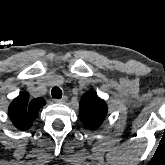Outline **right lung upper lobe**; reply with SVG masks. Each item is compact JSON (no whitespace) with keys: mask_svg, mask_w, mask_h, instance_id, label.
Returning <instances> with one entry per match:
<instances>
[{"mask_svg":"<svg viewBox=\"0 0 165 165\" xmlns=\"http://www.w3.org/2000/svg\"><path fill=\"white\" fill-rule=\"evenodd\" d=\"M46 104L42 98L29 100V94L23 93L16 97L8 108V114L14 126L26 130L32 126V121L38 116L39 110Z\"/></svg>","mask_w":165,"mask_h":165,"instance_id":"obj_1","label":"right lung upper lobe"}]
</instances>
